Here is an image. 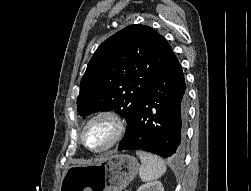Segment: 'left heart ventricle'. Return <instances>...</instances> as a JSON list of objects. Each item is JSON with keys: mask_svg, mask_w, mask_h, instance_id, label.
<instances>
[{"mask_svg": "<svg viewBox=\"0 0 251 191\" xmlns=\"http://www.w3.org/2000/svg\"><path fill=\"white\" fill-rule=\"evenodd\" d=\"M113 125L106 118H97L91 121L82 133L83 146L93 152L106 148L113 137Z\"/></svg>", "mask_w": 251, "mask_h": 191, "instance_id": "left-heart-ventricle-1", "label": "left heart ventricle"}]
</instances>
